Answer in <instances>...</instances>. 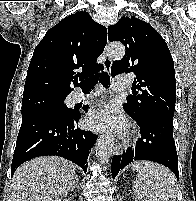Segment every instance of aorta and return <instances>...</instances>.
Returning a JSON list of instances; mask_svg holds the SVG:
<instances>
[{
    "mask_svg": "<svg viewBox=\"0 0 196 201\" xmlns=\"http://www.w3.org/2000/svg\"><path fill=\"white\" fill-rule=\"evenodd\" d=\"M107 55L112 58H122L125 47L122 44H110L107 47ZM114 147V138L111 135L100 138L96 144V157L101 164L108 163Z\"/></svg>",
    "mask_w": 196,
    "mask_h": 201,
    "instance_id": "1",
    "label": "aorta"
}]
</instances>
